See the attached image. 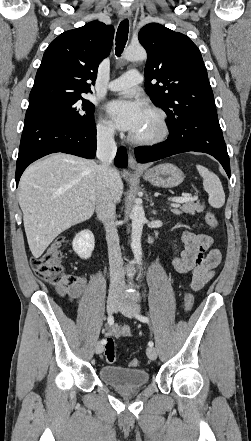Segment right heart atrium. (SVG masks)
<instances>
[{"label": "right heart atrium", "instance_id": "right-heart-atrium-1", "mask_svg": "<svg viewBox=\"0 0 251 441\" xmlns=\"http://www.w3.org/2000/svg\"><path fill=\"white\" fill-rule=\"evenodd\" d=\"M96 132L99 138L109 140L114 136L112 125L103 118H100L96 125Z\"/></svg>", "mask_w": 251, "mask_h": 441}]
</instances>
